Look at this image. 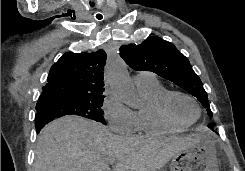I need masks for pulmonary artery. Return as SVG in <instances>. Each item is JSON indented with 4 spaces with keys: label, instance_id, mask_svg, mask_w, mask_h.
I'll return each mask as SVG.
<instances>
[{
    "label": "pulmonary artery",
    "instance_id": "obj_1",
    "mask_svg": "<svg viewBox=\"0 0 245 171\" xmlns=\"http://www.w3.org/2000/svg\"><path fill=\"white\" fill-rule=\"evenodd\" d=\"M157 80L155 75L151 72L142 71L134 76V81L136 85L149 83Z\"/></svg>",
    "mask_w": 245,
    "mask_h": 171
}]
</instances>
